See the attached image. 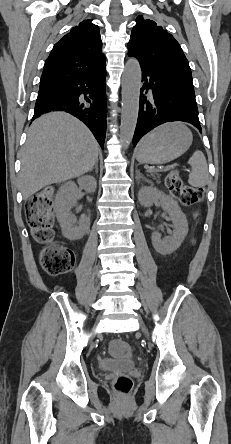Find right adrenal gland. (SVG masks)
Returning <instances> with one entry per match:
<instances>
[{"label": "right adrenal gland", "instance_id": "1", "mask_svg": "<svg viewBox=\"0 0 231 444\" xmlns=\"http://www.w3.org/2000/svg\"><path fill=\"white\" fill-rule=\"evenodd\" d=\"M93 169H95V172L98 173V161L96 162L95 166L90 170V172H92Z\"/></svg>", "mask_w": 231, "mask_h": 444}]
</instances>
